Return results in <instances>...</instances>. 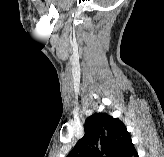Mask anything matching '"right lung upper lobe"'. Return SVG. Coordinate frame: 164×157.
<instances>
[{"label": "right lung upper lobe", "instance_id": "cb5924a9", "mask_svg": "<svg viewBox=\"0 0 164 157\" xmlns=\"http://www.w3.org/2000/svg\"><path fill=\"white\" fill-rule=\"evenodd\" d=\"M131 140L125 125L106 113H96L85 122V135L67 157H118Z\"/></svg>", "mask_w": 164, "mask_h": 157}]
</instances>
